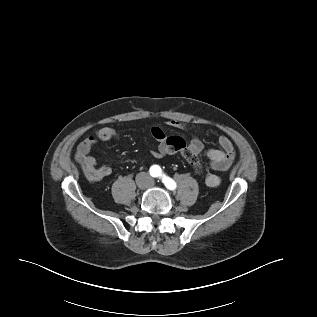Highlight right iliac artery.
I'll return each instance as SVG.
<instances>
[{"label":"right iliac artery","instance_id":"right-iliac-artery-1","mask_svg":"<svg viewBox=\"0 0 317 317\" xmlns=\"http://www.w3.org/2000/svg\"><path fill=\"white\" fill-rule=\"evenodd\" d=\"M158 172H159L158 166H153V167H151V169H150V174H151L153 177H157V176H158Z\"/></svg>","mask_w":317,"mask_h":317}]
</instances>
